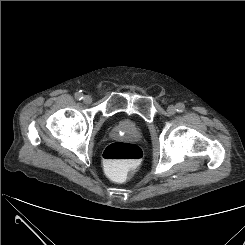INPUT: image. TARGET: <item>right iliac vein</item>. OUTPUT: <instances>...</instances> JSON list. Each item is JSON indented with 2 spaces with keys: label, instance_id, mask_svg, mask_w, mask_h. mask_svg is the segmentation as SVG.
I'll return each instance as SVG.
<instances>
[{
  "label": "right iliac vein",
  "instance_id": "1",
  "mask_svg": "<svg viewBox=\"0 0 245 245\" xmlns=\"http://www.w3.org/2000/svg\"><path fill=\"white\" fill-rule=\"evenodd\" d=\"M83 102H84L85 104H90V103L92 102L91 96L85 95V96L83 97Z\"/></svg>",
  "mask_w": 245,
  "mask_h": 245
}]
</instances>
